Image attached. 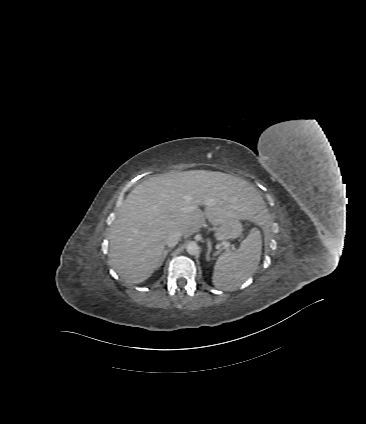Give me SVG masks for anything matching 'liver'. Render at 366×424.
Segmentation results:
<instances>
[{
    "label": "liver",
    "instance_id": "obj_1",
    "mask_svg": "<svg viewBox=\"0 0 366 424\" xmlns=\"http://www.w3.org/2000/svg\"><path fill=\"white\" fill-rule=\"evenodd\" d=\"M198 205H204L202 211ZM265 204L247 181L222 172L191 170L151 177L125 199L111 226L110 263L128 283L146 281L159 268L166 237L234 220L263 225Z\"/></svg>",
    "mask_w": 366,
    "mask_h": 424
}]
</instances>
